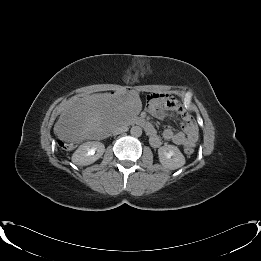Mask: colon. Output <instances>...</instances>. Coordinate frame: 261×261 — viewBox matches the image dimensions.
<instances>
[{
    "label": "colon",
    "instance_id": "1",
    "mask_svg": "<svg viewBox=\"0 0 261 261\" xmlns=\"http://www.w3.org/2000/svg\"><path fill=\"white\" fill-rule=\"evenodd\" d=\"M62 143V142H61ZM72 144H64V148H68L70 147ZM184 152L187 154V155H191L193 154L194 152V149L191 147V146H186L185 149H184Z\"/></svg>",
    "mask_w": 261,
    "mask_h": 261
}]
</instances>
